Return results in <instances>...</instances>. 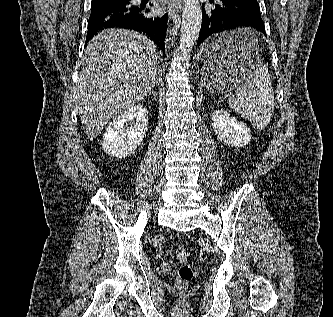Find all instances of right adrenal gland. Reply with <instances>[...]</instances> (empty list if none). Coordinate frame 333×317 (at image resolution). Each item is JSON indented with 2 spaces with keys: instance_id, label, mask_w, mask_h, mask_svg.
Segmentation results:
<instances>
[{
  "instance_id": "2a0ac1e0",
  "label": "right adrenal gland",
  "mask_w": 333,
  "mask_h": 317,
  "mask_svg": "<svg viewBox=\"0 0 333 317\" xmlns=\"http://www.w3.org/2000/svg\"><path fill=\"white\" fill-rule=\"evenodd\" d=\"M155 85L152 87L151 91L149 92L148 96L154 95L156 96L155 90H154Z\"/></svg>"
}]
</instances>
